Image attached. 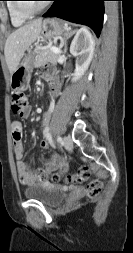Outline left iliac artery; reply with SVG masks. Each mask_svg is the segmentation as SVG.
I'll list each match as a JSON object with an SVG mask.
<instances>
[{"label":"left iliac artery","mask_w":133,"mask_h":253,"mask_svg":"<svg viewBox=\"0 0 133 253\" xmlns=\"http://www.w3.org/2000/svg\"><path fill=\"white\" fill-rule=\"evenodd\" d=\"M57 142L61 143L62 142V138L60 136L57 137Z\"/></svg>","instance_id":"left-iliac-artery-1"}]
</instances>
